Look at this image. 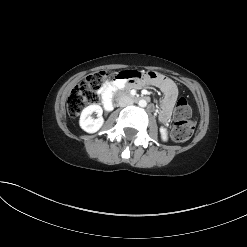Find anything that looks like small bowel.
Wrapping results in <instances>:
<instances>
[{
	"mask_svg": "<svg viewBox=\"0 0 247 247\" xmlns=\"http://www.w3.org/2000/svg\"><path fill=\"white\" fill-rule=\"evenodd\" d=\"M145 83L154 84L163 92L164 98L161 104L159 120L161 123L167 124L170 121L172 109L178 97V89L170 78L152 70L136 71L130 67L125 71L115 73L114 80L106 82L100 91L104 109L107 111L112 109L113 95L118 90L126 86L138 88Z\"/></svg>",
	"mask_w": 247,
	"mask_h": 247,
	"instance_id": "c3829d8e",
	"label": "small bowel"
}]
</instances>
